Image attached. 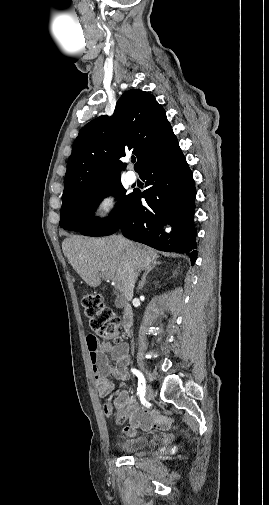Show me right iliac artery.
Listing matches in <instances>:
<instances>
[{
	"mask_svg": "<svg viewBox=\"0 0 269 505\" xmlns=\"http://www.w3.org/2000/svg\"><path fill=\"white\" fill-rule=\"evenodd\" d=\"M131 372L134 375H136L138 377V379H139V381H138L137 395L140 398H143L145 396V378L142 375V373L140 371H138L137 369L132 368Z\"/></svg>",
	"mask_w": 269,
	"mask_h": 505,
	"instance_id": "obj_1",
	"label": "right iliac artery"
}]
</instances>
